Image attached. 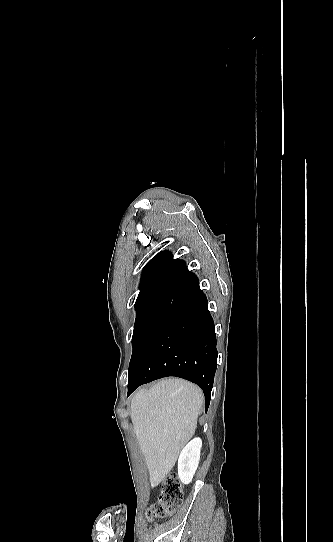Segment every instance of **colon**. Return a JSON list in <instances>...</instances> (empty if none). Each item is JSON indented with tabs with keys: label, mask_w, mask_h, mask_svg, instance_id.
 Instances as JSON below:
<instances>
[{
	"label": "colon",
	"mask_w": 333,
	"mask_h": 542,
	"mask_svg": "<svg viewBox=\"0 0 333 542\" xmlns=\"http://www.w3.org/2000/svg\"><path fill=\"white\" fill-rule=\"evenodd\" d=\"M183 492L179 480L173 474L164 478L163 487L158 501L148 510L150 518H163L176 511L182 504Z\"/></svg>",
	"instance_id": "1"
}]
</instances>
